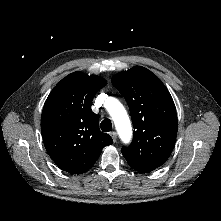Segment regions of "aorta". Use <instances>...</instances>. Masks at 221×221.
Returning a JSON list of instances; mask_svg holds the SVG:
<instances>
[{
	"instance_id": "762f6f07",
	"label": "aorta",
	"mask_w": 221,
	"mask_h": 221,
	"mask_svg": "<svg viewBox=\"0 0 221 221\" xmlns=\"http://www.w3.org/2000/svg\"><path fill=\"white\" fill-rule=\"evenodd\" d=\"M108 112L112 117L116 130L124 143L132 138V127L128 114L123 105L115 98L108 99Z\"/></svg>"
}]
</instances>
